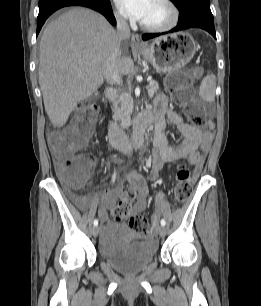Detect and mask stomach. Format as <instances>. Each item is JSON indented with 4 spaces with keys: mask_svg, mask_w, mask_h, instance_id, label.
<instances>
[{
    "mask_svg": "<svg viewBox=\"0 0 261 306\" xmlns=\"http://www.w3.org/2000/svg\"><path fill=\"white\" fill-rule=\"evenodd\" d=\"M196 50L194 39L186 32H178L160 36L136 53L148 60L157 72L170 73L188 64Z\"/></svg>",
    "mask_w": 261,
    "mask_h": 306,
    "instance_id": "stomach-1",
    "label": "stomach"
}]
</instances>
